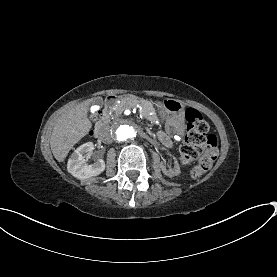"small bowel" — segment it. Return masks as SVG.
Segmentation results:
<instances>
[{
  "mask_svg": "<svg viewBox=\"0 0 277 277\" xmlns=\"http://www.w3.org/2000/svg\"><path fill=\"white\" fill-rule=\"evenodd\" d=\"M181 133H182V129L179 128L178 129V134H181ZM159 137L166 146L169 147V146L172 145V140L166 133L160 132Z\"/></svg>",
  "mask_w": 277,
  "mask_h": 277,
  "instance_id": "obj_1",
  "label": "small bowel"
}]
</instances>
